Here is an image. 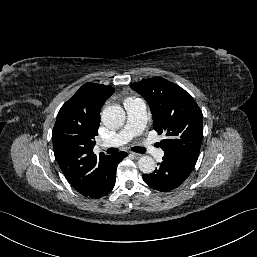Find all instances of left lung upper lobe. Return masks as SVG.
<instances>
[{
	"label": "left lung upper lobe",
	"instance_id": "obj_1",
	"mask_svg": "<svg viewBox=\"0 0 257 257\" xmlns=\"http://www.w3.org/2000/svg\"><path fill=\"white\" fill-rule=\"evenodd\" d=\"M130 87L148 102L153 126L161 141L163 158L193 170L203 138L202 111L183 88L164 78L154 77L135 82Z\"/></svg>",
	"mask_w": 257,
	"mask_h": 257
}]
</instances>
